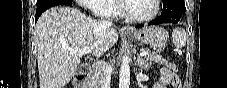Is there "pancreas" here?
<instances>
[{
    "mask_svg": "<svg viewBox=\"0 0 227 88\" xmlns=\"http://www.w3.org/2000/svg\"><path fill=\"white\" fill-rule=\"evenodd\" d=\"M146 59V63H148V65H151L153 62L159 63L161 65H165L166 67L176 71L177 66L174 63H171L169 60L162 58L160 55L157 54H151L148 56H145ZM105 68V65L96 70L95 74L92 76L91 78V88H94L95 85L97 84V82L101 79V77L103 76V70Z\"/></svg>",
    "mask_w": 227,
    "mask_h": 88,
    "instance_id": "pancreas-1",
    "label": "pancreas"
}]
</instances>
